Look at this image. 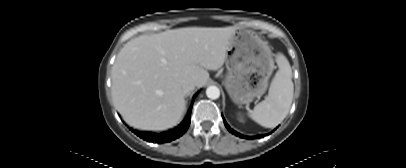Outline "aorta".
<instances>
[{"mask_svg":"<svg viewBox=\"0 0 406 168\" xmlns=\"http://www.w3.org/2000/svg\"><path fill=\"white\" fill-rule=\"evenodd\" d=\"M206 95L210 99H213V100L218 99L220 96V90L217 86H209L206 89Z\"/></svg>","mask_w":406,"mask_h":168,"instance_id":"1","label":"aorta"}]
</instances>
